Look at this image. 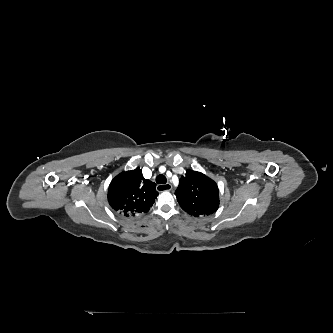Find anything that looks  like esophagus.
<instances>
[{"label":"esophagus","mask_w":333,"mask_h":333,"mask_svg":"<svg viewBox=\"0 0 333 333\" xmlns=\"http://www.w3.org/2000/svg\"><path fill=\"white\" fill-rule=\"evenodd\" d=\"M156 188H157V191H159V192L170 191V190H172V185L170 183L160 184Z\"/></svg>","instance_id":"esophagus-1"}]
</instances>
